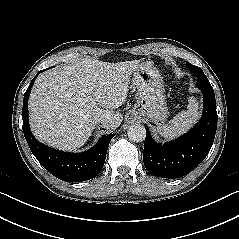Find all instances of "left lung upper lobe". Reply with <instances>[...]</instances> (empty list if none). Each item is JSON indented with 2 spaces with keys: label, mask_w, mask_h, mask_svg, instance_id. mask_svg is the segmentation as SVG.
I'll return each mask as SVG.
<instances>
[{
  "label": "left lung upper lobe",
  "mask_w": 239,
  "mask_h": 239,
  "mask_svg": "<svg viewBox=\"0 0 239 239\" xmlns=\"http://www.w3.org/2000/svg\"><path fill=\"white\" fill-rule=\"evenodd\" d=\"M187 68L197 76L198 81L208 82V79L202 69L187 62Z\"/></svg>",
  "instance_id": "left-lung-upper-lobe-1"
}]
</instances>
